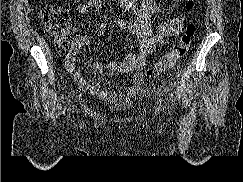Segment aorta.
Wrapping results in <instances>:
<instances>
[{
  "mask_svg": "<svg viewBox=\"0 0 243 182\" xmlns=\"http://www.w3.org/2000/svg\"><path fill=\"white\" fill-rule=\"evenodd\" d=\"M120 6L125 10V11H130L134 4V0H119Z\"/></svg>",
  "mask_w": 243,
  "mask_h": 182,
  "instance_id": "1",
  "label": "aorta"
}]
</instances>
